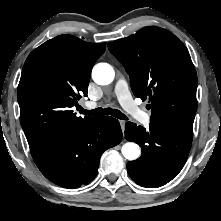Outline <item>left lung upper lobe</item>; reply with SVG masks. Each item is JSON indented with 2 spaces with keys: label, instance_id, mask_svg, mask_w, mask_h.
Instances as JSON below:
<instances>
[{
  "label": "left lung upper lobe",
  "instance_id": "obj_1",
  "mask_svg": "<svg viewBox=\"0 0 221 221\" xmlns=\"http://www.w3.org/2000/svg\"><path fill=\"white\" fill-rule=\"evenodd\" d=\"M108 48L124 65L134 95L149 99L151 123L192 137L197 75L185 45L168 30L148 26Z\"/></svg>",
  "mask_w": 221,
  "mask_h": 221
}]
</instances>
